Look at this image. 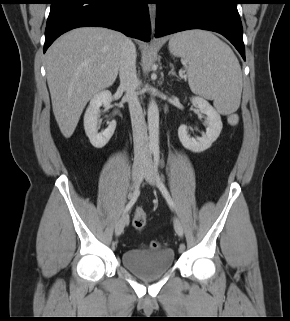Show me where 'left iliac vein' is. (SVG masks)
Here are the masks:
<instances>
[{
	"instance_id": "obj_1",
	"label": "left iliac vein",
	"mask_w": 290,
	"mask_h": 321,
	"mask_svg": "<svg viewBox=\"0 0 290 321\" xmlns=\"http://www.w3.org/2000/svg\"><path fill=\"white\" fill-rule=\"evenodd\" d=\"M143 175H144L145 180L150 185L156 186L158 184L157 173H156L154 166L152 164V161L150 159H148V161L145 164V167L143 170ZM173 224H174V229H175L176 233L180 237H182L184 230H183V226H182L180 220L177 217H174Z\"/></svg>"
}]
</instances>
